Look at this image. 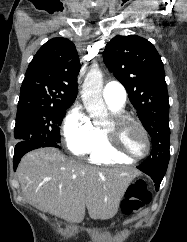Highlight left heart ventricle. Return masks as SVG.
<instances>
[{
    "instance_id": "b2bd125f",
    "label": "left heart ventricle",
    "mask_w": 187,
    "mask_h": 242,
    "mask_svg": "<svg viewBox=\"0 0 187 242\" xmlns=\"http://www.w3.org/2000/svg\"><path fill=\"white\" fill-rule=\"evenodd\" d=\"M110 120L105 128L110 127ZM122 147L131 155L138 156L145 152L146 142L141 131L134 125L128 124L124 126L120 132Z\"/></svg>"
}]
</instances>
